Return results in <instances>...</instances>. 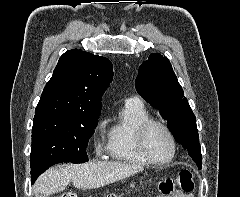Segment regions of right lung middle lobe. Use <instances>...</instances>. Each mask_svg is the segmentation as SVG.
<instances>
[{"instance_id":"obj_1","label":"right lung middle lobe","mask_w":240,"mask_h":197,"mask_svg":"<svg viewBox=\"0 0 240 197\" xmlns=\"http://www.w3.org/2000/svg\"><path fill=\"white\" fill-rule=\"evenodd\" d=\"M99 116L44 113L35 115L32 127V183L49 166L88 161L86 148Z\"/></svg>"}]
</instances>
